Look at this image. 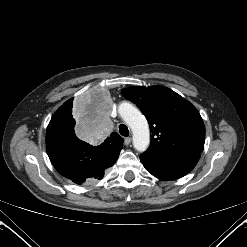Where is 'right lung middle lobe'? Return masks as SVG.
Instances as JSON below:
<instances>
[{
    "mask_svg": "<svg viewBox=\"0 0 247 247\" xmlns=\"http://www.w3.org/2000/svg\"><path fill=\"white\" fill-rule=\"evenodd\" d=\"M55 124L74 130L75 119L74 115H72V106L69 109L60 112V114L56 116Z\"/></svg>",
    "mask_w": 247,
    "mask_h": 247,
    "instance_id": "obj_1",
    "label": "right lung middle lobe"
}]
</instances>
